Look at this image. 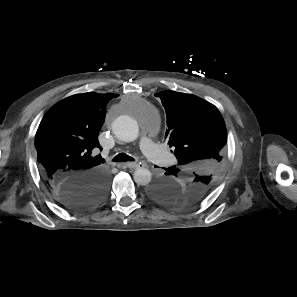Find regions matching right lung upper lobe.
<instances>
[{
  "label": "right lung upper lobe",
  "mask_w": 297,
  "mask_h": 297,
  "mask_svg": "<svg viewBox=\"0 0 297 297\" xmlns=\"http://www.w3.org/2000/svg\"><path fill=\"white\" fill-rule=\"evenodd\" d=\"M117 94H77L54 105L43 117L35 136L41 173L50 189L78 180L92 172H104L97 136L104 123L106 105Z\"/></svg>",
  "instance_id": "obj_1"
}]
</instances>
